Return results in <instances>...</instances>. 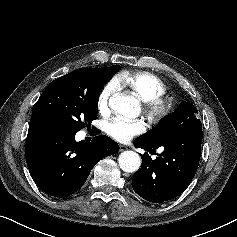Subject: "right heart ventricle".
<instances>
[{"mask_svg": "<svg viewBox=\"0 0 237 237\" xmlns=\"http://www.w3.org/2000/svg\"><path fill=\"white\" fill-rule=\"evenodd\" d=\"M114 82L118 87L127 88L143 102L163 95L166 92L164 81L149 72L122 73L115 78Z\"/></svg>", "mask_w": 237, "mask_h": 237, "instance_id": "obj_1", "label": "right heart ventricle"}]
</instances>
